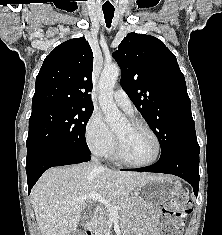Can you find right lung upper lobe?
Segmentation results:
<instances>
[{"instance_id":"obj_1","label":"right lung upper lobe","mask_w":222,"mask_h":235,"mask_svg":"<svg viewBox=\"0 0 222 235\" xmlns=\"http://www.w3.org/2000/svg\"><path fill=\"white\" fill-rule=\"evenodd\" d=\"M92 67L93 53L84 37L58 45L36 77L32 114L54 105L93 109Z\"/></svg>"}]
</instances>
